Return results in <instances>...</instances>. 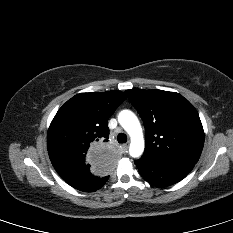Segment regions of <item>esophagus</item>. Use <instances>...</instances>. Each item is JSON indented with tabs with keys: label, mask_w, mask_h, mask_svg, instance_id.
Returning a JSON list of instances; mask_svg holds the SVG:
<instances>
[{
	"label": "esophagus",
	"mask_w": 233,
	"mask_h": 233,
	"mask_svg": "<svg viewBox=\"0 0 233 233\" xmlns=\"http://www.w3.org/2000/svg\"><path fill=\"white\" fill-rule=\"evenodd\" d=\"M121 148H122V151H123V152H127L128 148H129V144H123V145L121 146Z\"/></svg>",
	"instance_id": "34e87169"
}]
</instances>
